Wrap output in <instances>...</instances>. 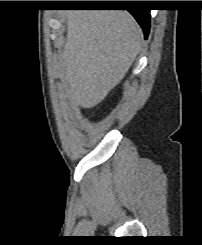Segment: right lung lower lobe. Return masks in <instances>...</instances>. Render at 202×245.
Here are the masks:
<instances>
[{"mask_svg": "<svg viewBox=\"0 0 202 245\" xmlns=\"http://www.w3.org/2000/svg\"><path fill=\"white\" fill-rule=\"evenodd\" d=\"M109 4V3H108ZM107 3H96L92 6H109ZM131 4H138V2H132ZM144 31V35L147 38L150 28V10L145 8H131L128 10Z\"/></svg>", "mask_w": 202, "mask_h": 245, "instance_id": "1", "label": "right lung lower lobe"}]
</instances>
